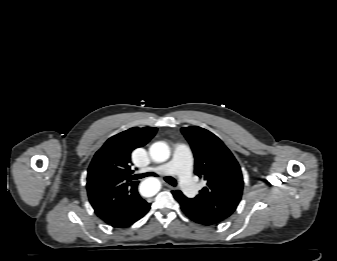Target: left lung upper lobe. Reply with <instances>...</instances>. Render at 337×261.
<instances>
[{"label":"left lung upper lobe","mask_w":337,"mask_h":261,"mask_svg":"<svg viewBox=\"0 0 337 261\" xmlns=\"http://www.w3.org/2000/svg\"><path fill=\"white\" fill-rule=\"evenodd\" d=\"M181 132L191 145L195 174L207 182L195 198H184L195 208L222 222L235 211L241 200L243 178L239 164L210 131L191 126L181 128Z\"/></svg>","instance_id":"left-lung-upper-lobe-1"}]
</instances>
